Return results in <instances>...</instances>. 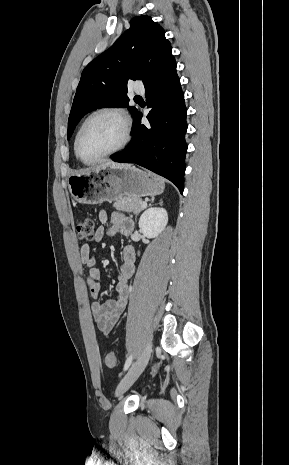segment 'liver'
<instances>
[{
    "instance_id": "6515ba94",
    "label": "liver",
    "mask_w": 289,
    "mask_h": 465,
    "mask_svg": "<svg viewBox=\"0 0 289 465\" xmlns=\"http://www.w3.org/2000/svg\"><path fill=\"white\" fill-rule=\"evenodd\" d=\"M105 166H113V167H128L130 166L129 164H120V163H114L112 161H106L103 164H101L99 167H105ZM90 170V169H89ZM88 171V170H87Z\"/></svg>"
}]
</instances>
